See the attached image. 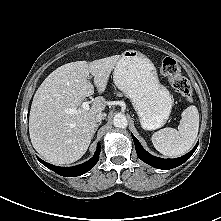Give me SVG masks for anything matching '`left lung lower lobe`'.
<instances>
[{"mask_svg":"<svg viewBox=\"0 0 221 221\" xmlns=\"http://www.w3.org/2000/svg\"><path fill=\"white\" fill-rule=\"evenodd\" d=\"M132 138L135 144V149H136L138 157L145 163L158 169H172L177 166H180L191 157V155L194 153V151L196 150L198 146V143H197V145L189 153H187L186 155L182 157L175 158V159H162V158H158L149 154L142 147L138 139L133 134H132Z\"/></svg>","mask_w":221,"mask_h":221,"instance_id":"left-lung-lower-lobe-1","label":"left lung lower lobe"}]
</instances>
